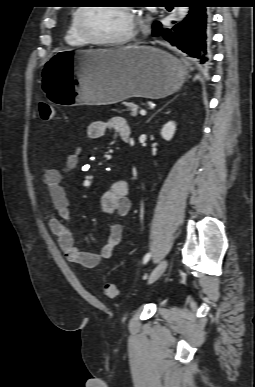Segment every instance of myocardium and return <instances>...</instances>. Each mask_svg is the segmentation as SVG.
Masks as SVG:
<instances>
[{
  "label": "myocardium",
  "mask_w": 255,
  "mask_h": 387,
  "mask_svg": "<svg viewBox=\"0 0 255 387\" xmlns=\"http://www.w3.org/2000/svg\"><path fill=\"white\" fill-rule=\"evenodd\" d=\"M117 7H120L121 9L125 10L133 19V27L125 36L118 39H99L94 37L88 31V29L84 24V15L89 9L92 8L91 6H82L77 10L76 17H75V25L79 35L87 43L93 44V45H99V46H121L129 43L136 35L137 16L133 8L129 6H117Z\"/></svg>",
  "instance_id": "myocardium-1"
}]
</instances>
